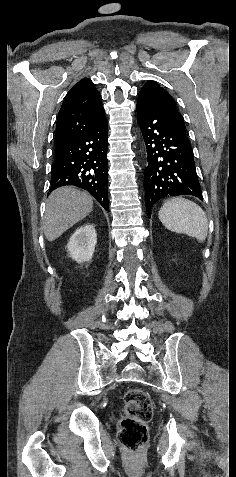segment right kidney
<instances>
[{"label":"right kidney","mask_w":236,"mask_h":477,"mask_svg":"<svg viewBox=\"0 0 236 477\" xmlns=\"http://www.w3.org/2000/svg\"><path fill=\"white\" fill-rule=\"evenodd\" d=\"M97 233L93 225L86 224L71 236L67 250L70 257L78 263L90 261L95 251Z\"/></svg>","instance_id":"right-kidney-1"}]
</instances>
